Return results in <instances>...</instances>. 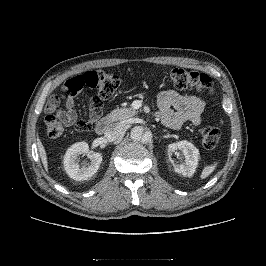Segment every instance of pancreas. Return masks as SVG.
<instances>
[{
	"instance_id": "pancreas-1",
	"label": "pancreas",
	"mask_w": 266,
	"mask_h": 266,
	"mask_svg": "<svg viewBox=\"0 0 266 266\" xmlns=\"http://www.w3.org/2000/svg\"><path fill=\"white\" fill-rule=\"evenodd\" d=\"M138 113L132 107L116 108L106 116L108 122L125 121L126 119L135 116Z\"/></svg>"
}]
</instances>
